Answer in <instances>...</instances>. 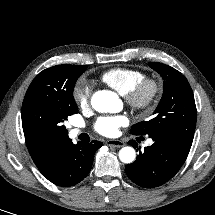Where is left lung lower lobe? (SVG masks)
<instances>
[{"instance_id":"0a47b994","label":"left lung lower lobe","mask_w":215,"mask_h":215,"mask_svg":"<svg viewBox=\"0 0 215 215\" xmlns=\"http://www.w3.org/2000/svg\"><path fill=\"white\" fill-rule=\"evenodd\" d=\"M151 138L154 143L145 147L144 152L139 151L137 160L125 167L129 179L144 188L158 187L169 181L181 168L191 148L167 136ZM129 144L138 149L134 140Z\"/></svg>"}]
</instances>
